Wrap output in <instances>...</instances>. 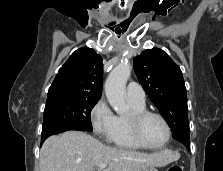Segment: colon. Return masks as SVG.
<instances>
[{"label":"colon","instance_id":"obj_1","mask_svg":"<svg viewBox=\"0 0 223 171\" xmlns=\"http://www.w3.org/2000/svg\"><path fill=\"white\" fill-rule=\"evenodd\" d=\"M167 171H183V170L180 166L173 165V166H170Z\"/></svg>","mask_w":223,"mask_h":171}]
</instances>
